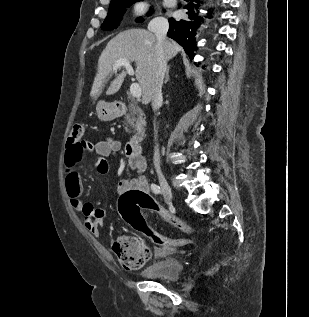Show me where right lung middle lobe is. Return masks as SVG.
<instances>
[{"instance_id": "right-lung-middle-lobe-1", "label": "right lung middle lobe", "mask_w": 309, "mask_h": 317, "mask_svg": "<svg viewBox=\"0 0 309 317\" xmlns=\"http://www.w3.org/2000/svg\"><path fill=\"white\" fill-rule=\"evenodd\" d=\"M138 1L142 0H111L108 15L101 25V29L107 31L116 28L125 13L126 8ZM141 21L142 18L138 20V22Z\"/></svg>"}]
</instances>
